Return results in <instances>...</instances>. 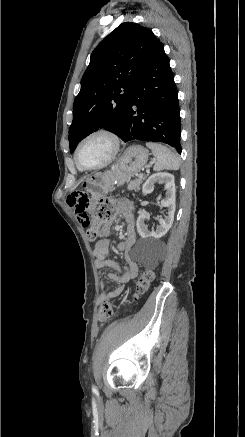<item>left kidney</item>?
I'll use <instances>...</instances> for the list:
<instances>
[{
	"instance_id": "5707ae66",
	"label": "left kidney",
	"mask_w": 245,
	"mask_h": 437,
	"mask_svg": "<svg viewBox=\"0 0 245 437\" xmlns=\"http://www.w3.org/2000/svg\"><path fill=\"white\" fill-rule=\"evenodd\" d=\"M161 182L165 184L166 198L161 200V206L167 208V216L159 219V225L156 230L149 231L145 225L147 214H141L136 222V227L139 235L144 239H159L164 236L171 228L174 221L175 212V183L174 176L167 172H161L151 175L143 184L142 192L144 195L151 193L154 190V183Z\"/></svg>"
}]
</instances>
